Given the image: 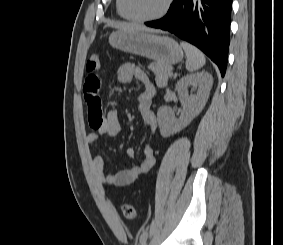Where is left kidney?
Returning a JSON list of instances; mask_svg holds the SVG:
<instances>
[{
    "mask_svg": "<svg viewBox=\"0 0 283 245\" xmlns=\"http://www.w3.org/2000/svg\"><path fill=\"white\" fill-rule=\"evenodd\" d=\"M213 84L212 75L202 71L182 77L176 84L179 99L182 103L181 115L177 119L170 107L158 109L157 120L162 137H169L185 128L204 108ZM192 86L196 94L188 95Z\"/></svg>",
    "mask_w": 283,
    "mask_h": 245,
    "instance_id": "1",
    "label": "left kidney"
}]
</instances>
